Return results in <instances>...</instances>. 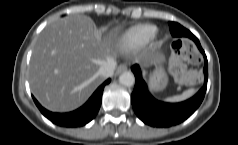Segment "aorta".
Returning <instances> with one entry per match:
<instances>
[{
	"instance_id": "1",
	"label": "aorta",
	"mask_w": 238,
	"mask_h": 145,
	"mask_svg": "<svg viewBox=\"0 0 238 145\" xmlns=\"http://www.w3.org/2000/svg\"><path fill=\"white\" fill-rule=\"evenodd\" d=\"M120 84L131 87L135 83V77L132 72L125 71L119 76Z\"/></svg>"
}]
</instances>
